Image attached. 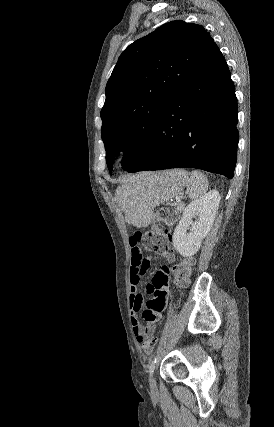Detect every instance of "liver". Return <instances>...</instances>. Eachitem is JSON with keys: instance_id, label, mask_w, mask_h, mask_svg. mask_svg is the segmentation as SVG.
Masks as SVG:
<instances>
[{"instance_id": "6515ba94", "label": "liver", "mask_w": 274, "mask_h": 427, "mask_svg": "<svg viewBox=\"0 0 274 427\" xmlns=\"http://www.w3.org/2000/svg\"><path fill=\"white\" fill-rule=\"evenodd\" d=\"M134 178H135V176H134ZM132 180H133V178H122V180H120V182H123V184H129V182H132ZM130 186H132V184H130ZM122 188H123V186H122ZM116 198H117V200H118L121 208H123V210L125 212V208L121 204V198H122V196H120V194H119V188L117 190Z\"/></svg>"}]
</instances>
